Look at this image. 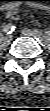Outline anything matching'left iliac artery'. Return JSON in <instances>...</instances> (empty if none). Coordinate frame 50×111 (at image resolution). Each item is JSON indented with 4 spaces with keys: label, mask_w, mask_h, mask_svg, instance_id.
I'll use <instances>...</instances> for the list:
<instances>
[{
    "label": "left iliac artery",
    "mask_w": 50,
    "mask_h": 111,
    "mask_svg": "<svg viewBox=\"0 0 50 111\" xmlns=\"http://www.w3.org/2000/svg\"><path fill=\"white\" fill-rule=\"evenodd\" d=\"M34 33H35V35H36V38H37L39 41H43L44 36H43V34H42L41 31H39V30H34Z\"/></svg>",
    "instance_id": "1"
}]
</instances>
